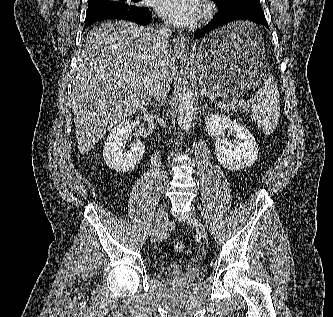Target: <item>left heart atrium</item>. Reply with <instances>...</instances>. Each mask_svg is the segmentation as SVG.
Returning a JSON list of instances; mask_svg holds the SVG:
<instances>
[{"mask_svg":"<svg viewBox=\"0 0 333 317\" xmlns=\"http://www.w3.org/2000/svg\"><path fill=\"white\" fill-rule=\"evenodd\" d=\"M157 13L174 25H189L199 16L201 8L198 0H157Z\"/></svg>","mask_w":333,"mask_h":317,"instance_id":"obj_1","label":"left heart atrium"}]
</instances>
